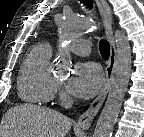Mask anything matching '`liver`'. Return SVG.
I'll return each mask as SVG.
<instances>
[{
	"mask_svg": "<svg viewBox=\"0 0 144 137\" xmlns=\"http://www.w3.org/2000/svg\"><path fill=\"white\" fill-rule=\"evenodd\" d=\"M70 118L53 109L34 104L10 108L2 117L0 137H65Z\"/></svg>",
	"mask_w": 144,
	"mask_h": 137,
	"instance_id": "1",
	"label": "liver"
}]
</instances>
